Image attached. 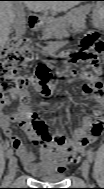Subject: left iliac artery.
I'll return each instance as SVG.
<instances>
[{"instance_id":"obj_1","label":"left iliac artery","mask_w":104,"mask_h":189,"mask_svg":"<svg viewBox=\"0 0 104 189\" xmlns=\"http://www.w3.org/2000/svg\"><path fill=\"white\" fill-rule=\"evenodd\" d=\"M87 158L90 162H92L94 160V154L92 151H89L87 154Z\"/></svg>"}]
</instances>
